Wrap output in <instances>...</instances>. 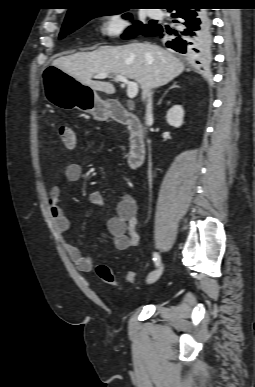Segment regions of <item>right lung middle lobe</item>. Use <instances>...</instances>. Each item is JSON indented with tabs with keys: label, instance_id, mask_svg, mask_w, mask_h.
Listing matches in <instances>:
<instances>
[{
	"label": "right lung middle lobe",
	"instance_id": "1",
	"mask_svg": "<svg viewBox=\"0 0 255 387\" xmlns=\"http://www.w3.org/2000/svg\"><path fill=\"white\" fill-rule=\"evenodd\" d=\"M130 8H117V9H110V10H94L89 11L84 14H81L74 18H66L64 21V24L61 29L60 38H63L65 35L70 34L74 30L78 29L82 25H84L87 21H89L92 18L102 16V15H109L114 13H120L123 11H126ZM123 18L125 19H131V14L127 13L123 15ZM154 26L153 23L143 24L142 22L135 21L133 26H130L126 31L125 34L122 35L124 39H130L135 37L136 35L142 34V31L147 27ZM157 26V25H155Z\"/></svg>",
	"mask_w": 255,
	"mask_h": 387
}]
</instances>
